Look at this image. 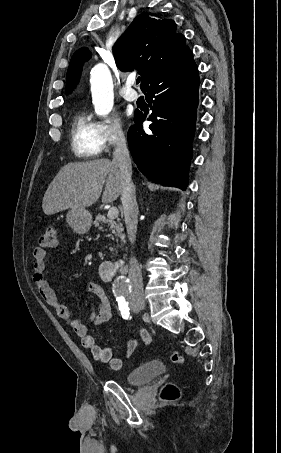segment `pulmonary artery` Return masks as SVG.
<instances>
[{"mask_svg": "<svg viewBox=\"0 0 281 453\" xmlns=\"http://www.w3.org/2000/svg\"><path fill=\"white\" fill-rule=\"evenodd\" d=\"M133 82L134 78L130 77L127 84L119 90L120 95L128 101H135L139 98L137 91L131 88Z\"/></svg>", "mask_w": 281, "mask_h": 453, "instance_id": "1", "label": "pulmonary artery"}]
</instances>
